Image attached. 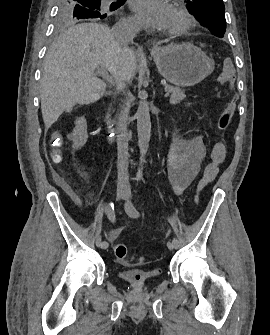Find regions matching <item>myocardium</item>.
Returning a JSON list of instances; mask_svg holds the SVG:
<instances>
[{
	"instance_id": "obj_1",
	"label": "myocardium",
	"mask_w": 270,
	"mask_h": 335,
	"mask_svg": "<svg viewBox=\"0 0 270 335\" xmlns=\"http://www.w3.org/2000/svg\"><path fill=\"white\" fill-rule=\"evenodd\" d=\"M177 16L179 18V25L176 27V30L178 32H185L189 29V27L192 24V19L191 17L183 10H178L177 11Z\"/></svg>"
}]
</instances>
